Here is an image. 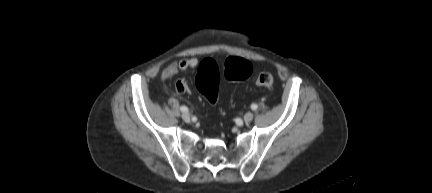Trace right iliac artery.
<instances>
[{"label":"right iliac artery","instance_id":"obj_1","mask_svg":"<svg viewBox=\"0 0 432 193\" xmlns=\"http://www.w3.org/2000/svg\"><path fill=\"white\" fill-rule=\"evenodd\" d=\"M180 110H181L182 112H188V108H187L186 106H181V107H180Z\"/></svg>","mask_w":432,"mask_h":193}]
</instances>
